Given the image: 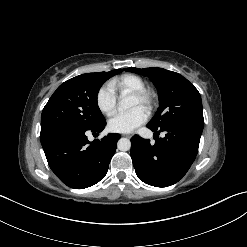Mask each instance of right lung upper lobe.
I'll list each match as a JSON object with an SVG mask.
<instances>
[{
    "mask_svg": "<svg viewBox=\"0 0 247 247\" xmlns=\"http://www.w3.org/2000/svg\"><path fill=\"white\" fill-rule=\"evenodd\" d=\"M117 70V69H116ZM116 70H112V71H110V72H106V73H113V72H115Z\"/></svg>",
    "mask_w": 247,
    "mask_h": 247,
    "instance_id": "obj_1",
    "label": "right lung upper lobe"
}]
</instances>
